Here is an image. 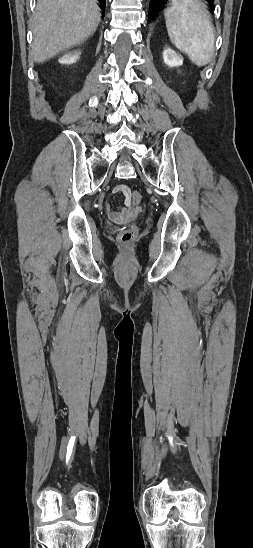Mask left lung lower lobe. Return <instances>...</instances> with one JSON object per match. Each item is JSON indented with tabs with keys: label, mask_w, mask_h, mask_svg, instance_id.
<instances>
[{
	"label": "left lung lower lobe",
	"mask_w": 253,
	"mask_h": 548,
	"mask_svg": "<svg viewBox=\"0 0 253 548\" xmlns=\"http://www.w3.org/2000/svg\"><path fill=\"white\" fill-rule=\"evenodd\" d=\"M165 1H167V0H151V2H150V8H149V13L152 14L153 12H156V11L160 8L161 4H162L163 2H165ZM206 1H207L211 6H213L214 0H206Z\"/></svg>",
	"instance_id": "obj_1"
}]
</instances>
